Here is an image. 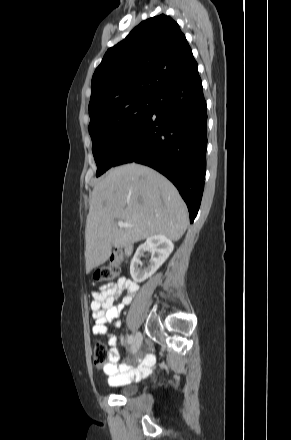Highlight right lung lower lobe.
I'll return each instance as SVG.
<instances>
[{"instance_id":"1","label":"right lung lower lobe","mask_w":291,"mask_h":440,"mask_svg":"<svg viewBox=\"0 0 291 440\" xmlns=\"http://www.w3.org/2000/svg\"><path fill=\"white\" fill-rule=\"evenodd\" d=\"M206 120L207 106L196 67L154 96L152 109L112 166L136 162L165 175L186 202L192 223L204 188Z\"/></svg>"}]
</instances>
